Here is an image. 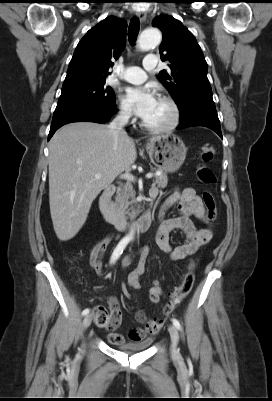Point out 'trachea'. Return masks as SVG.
Returning <instances> with one entry per match:
<instances>
[{
	"instance_id": "3493384b",
	"label": "trachea",
	"mask_w": 272,
	"mask_h": 401,
	"mask_svg": "<svg viewBox=\"0 0 272 401\" xmlns=\"http://www.w3.org/2000/svg\"><path fill=\"white\" fill-rule=\"evenodd\" d=\"M140 29V23L137 18H133L130 22L129 28H128V37L129 41L132 45L135 44L136 38L138 36Z\"/></svg>"
}]
</instances>
